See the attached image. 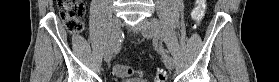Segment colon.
<instances>
[{
	"label": "colon",
	"instance_id": "1",
	"mask_svg": "<svg viewBox=\"0 0 279 82\" xmlns=\"http://www.w3.org/2000/svg\"><path fill=\"white\" fill-rule=\"evenodd\" d=\"M207 0H196L195 6L191 11V18L195 23H199L204 18ZM60 17L64 20L67 29L72 33H79L83 29V17L85 14V5L82 0H58L57 1ZM113 73L120 78L134 76L137 72L134 68L115 64ZM168 73L164 69H159L155 73V82H166Z\"/></svg>",
	"mask_w": 279,
	"mask_h": 82
}]
</instances>
